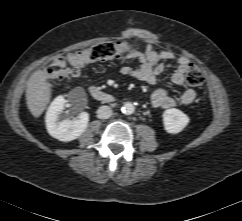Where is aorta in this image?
<instances>
[{
    "instance_id": "obj_1",
    "label": "aorta",
    "mask_w": 242,
    "mask_h": 221,
    "mask_svg": "<svg viewBox=\"0 0 242 221\" xmlns=\"http://www.w3.org/2000/svg\"><path fill=\"white\" fill-rule=\"evenodd\" d=\"M122 113L130 115L135 111V107L131 102H126L121 108Z\"/></svg>"
}]
</instances>
